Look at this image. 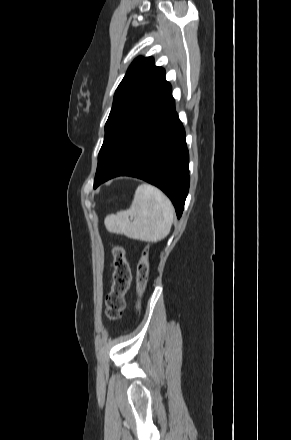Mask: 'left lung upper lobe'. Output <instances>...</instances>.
Masks as SVG:
<instances>
[{
	"label": "left lung upper lobe",
	"mask_w": 291,
	"mask_h": 440,
	"mask_svg": "<svg viewBox=\"0 0 291 440\" xmlns=\"http://www.w3.org/2000/svg\"><path fill=\"white\" fill-rule=\"evenodd\" d=\"M168 85L164 69L155 66L152 57H139L133 61L114 95L98 155L97 171L125 129Z\"/></svg>",
	"instance_id": "5c2ea615"
}]
</instances>
